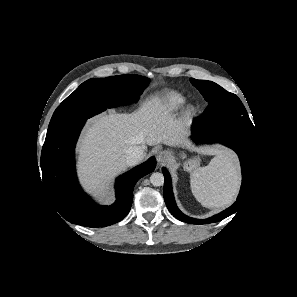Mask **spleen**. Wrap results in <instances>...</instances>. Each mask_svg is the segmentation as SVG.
Here are the masks:
<instances>
[{
  "label": "spleen",
  "mask_w": 297,
  "mask_h": 297,
  "mask_svg": "<svg viewBox=\"0 0 297 297\" xmlns=\"http://www.w3.org/2000/svg\"><path fill=\"white\" fill-rule=\"evenodd\" d=\"M195 198L208 208L229 205L239 186V172L231 153H221L191 174Z\"/></svg>",
  "instance_id": "1"
}]
</instances>
